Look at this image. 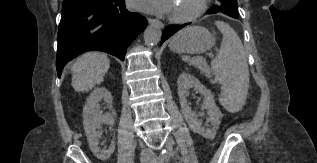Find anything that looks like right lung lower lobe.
Here are the masks:
<instances>
[{"instance_id":"obj_1","label":"right lung lower lobe","mask_w":317,"mask_h":163,"mask_svg":"<svg viewBox=\"0 0 317 163\" xmlns=\"http://www.w3.org/2000/svg\"><path fill=\"white\" fill-rule=\"evenodd\" d=\"M147 20L125 9V0H99L61 13L56 67L79 54L100 50L124 60L126 48L146 28Z\"/></svg>"}]
</instances>
